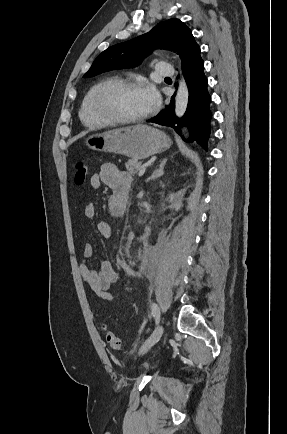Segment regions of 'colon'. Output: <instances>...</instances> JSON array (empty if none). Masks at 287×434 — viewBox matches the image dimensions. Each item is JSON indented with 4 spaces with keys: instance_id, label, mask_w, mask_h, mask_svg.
Masks as SVG:
<instances>
[{
    "instance_id": "colon-1",
    "label": "colon",
    "mask_w": 287,
    "mask_h": 434,
    "mask_svg": "<svg viewBox=\"0 0 287 434\" xmlns=\"http://www.w3.org/2000/svg\"><path fill=\"white\" fill-rule=\"evenodd\" d=\"M88 176V167L83 160H77L74 163V182L77 185L85 183ZM105 339L111 348L121 350L123 348L122 340L112 331L104 326Z\"/></svg>"
}]
</instances>
